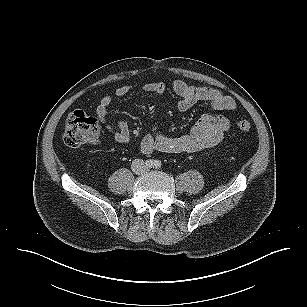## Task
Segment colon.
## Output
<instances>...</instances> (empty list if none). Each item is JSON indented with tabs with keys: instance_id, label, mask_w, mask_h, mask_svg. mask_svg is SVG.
I'll use <instances>...</instances> for the list:
<instances>
[{
	"instance_id": "colon-1",
	"label": "colon",
	"mask_w": 307,
	"mask_h": 307,
	"mask_svg": "<svg viewBox=\"0 0 307 307\" xmlns=\"http://www.w3.org/2000/svg\"><path fill=\"white\" fill-rule=\"evenodd\" d=\"M239 130L248 132L252 128L249 120L236 121ZM100 133V124L96 117L82 111L70 113L66 119L64 142L68 147L76 148L85 143L94 142Z\"/></svg>"
}]
</instances>
